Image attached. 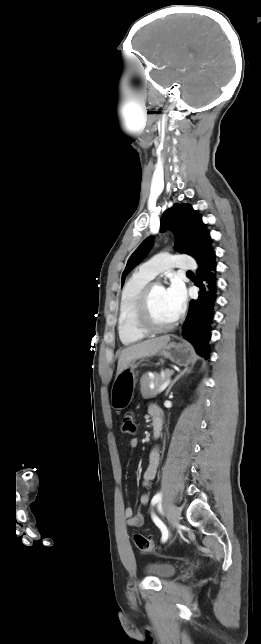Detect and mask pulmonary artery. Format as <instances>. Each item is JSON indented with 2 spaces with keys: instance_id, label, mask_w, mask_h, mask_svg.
<instances>
[{
  "instance_id": "1",
  "label": "pulmonary artery",
  "mask_w": 261,
  "mask_h": 644,
  "mask_svg": "<svg viewBox=\"0 0 261 644\" xmlns=\"http://www.w3.org/2000/svg\"><path fill=\"white\" fill-rule=\"evenodd\" d=\"M172 268L193 270L196 268V263L193 258L187 255L161 253L143 263L139 267V271L150 278H154L159 273Z\"/></svg>"
}]
</instances>
